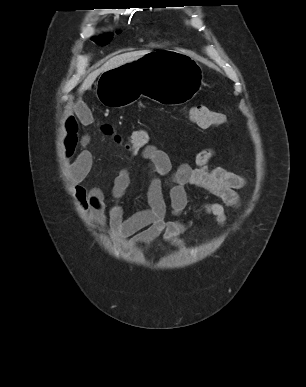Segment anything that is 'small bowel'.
Returning a JSON list of instances; mask_svg holds the SVG:
<instances>
[{"label":"small bowel","instance_id":"obj_1","mask_svg":"<svg viewBox=\"0 0 306 387\" xmlns=\"http://www.w3.org/2000/svg\"><path fill=\"white\" fill-rule=\"evenodd\" d=\"M78 118L83 126H89L93 122L88 109H81ZM90 140L87 133L79 137L78 122L73 116H69L64 124L63 146L66 157L71 158L77 147L80 148L69 169L73 195L79 206L90 213L97 228L108 227L115 235L129 238L134 244L150 245L161 241L183 249L185 242L182 235L191 227L194 219L211 216L218 226L223 227L227 221L226 209H236L240 205L238 191L244 186L245 180L240 174L221 167H211L214 149L201 150L196 155L194 164L181 163L173 167L165 151L148 144L139 152L140 157L146 161L147 208L125 216L120 201L130 186L131 173L129 169L122 168L114 178L111 188L113 205L107 210L102 189L97 186L86 188L81 184L92 166V154L87 149ZM163 177H166L165 181ZM187 186L200 188L219 201L206 202L198 209L194 219L181 220L179 216L188 205ZM165 188L173 216L169 220L166 219L168 206L164 196Z\"/></svg>","mask_w":306,"mask_h":387}]
</instances>
